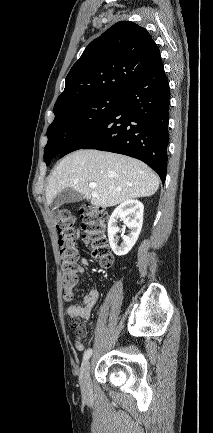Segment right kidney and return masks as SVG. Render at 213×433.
Instances as JSON below:
<instances>
[{"mask_svg":"<svg viewBox=\"0 0 213 433\" xmlns=\"http://www.w3.org/2000/svg\"><path fill=\"white\" fill-rule=\"evenodd\" d=\"M144 206L138 200H127L120 204L111 214L108 222V238L110 247L117 256L126 255L136 243L143 224ZM122 220L130 229L128 235L122 236L118 244L116 234L119 232L117 221Z\"/></svg>","mask_w":213,"mask_h":433,"instance_id":"ca27d5eb","label":"right kidney"}]
</instances>
